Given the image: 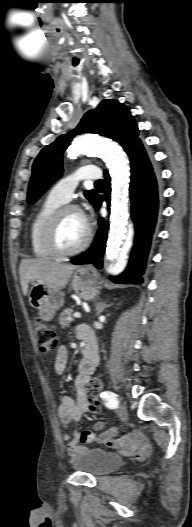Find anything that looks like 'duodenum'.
<instances>
[{
    "label": "duodenum",
    "mask_w": 192,
    "mask_h": 527,
    "mask_svg": "<svg viewBox=\"0 0 192 527\" xmlns=\"http://www.w3.org/2000/svg\"><path fill=\"white\" fill-rule=\"evenodd\" d=\"M85 366L91 367L95 363V356L91 348L86 346L83 351Z\"/></svg>",
    "instance_id": "1"
}]
</instances>
